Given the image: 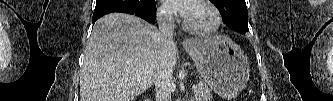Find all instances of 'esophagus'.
<instances>
[{
  "instance_id": "obj_1",
  "label": "esophagus",
  "mask_w": 333,
  "mask_h": 101,
  "mask_svg": "<svg viewBox=\"0 0 333 101\" xmlns=\"http://www.w3.org/2000/svg\"><path fill=\"white\" fill-rule=\"evenodd\" d=\"M191 44V40L189 39V38H184L183 40H182V45H184V46H188V45H190Z\"/></svg>"
}]
</instances>
